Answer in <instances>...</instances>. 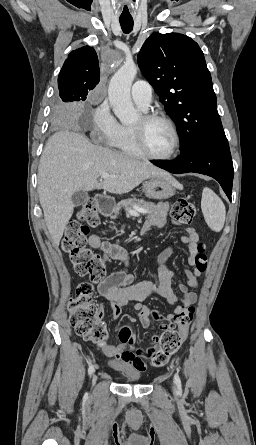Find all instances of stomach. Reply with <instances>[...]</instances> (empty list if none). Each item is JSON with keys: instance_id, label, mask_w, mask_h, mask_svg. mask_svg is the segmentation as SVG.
<instances>
[{"instance_id": "1", "label": "stomach", "mask_w": 256, "mask_h": 445, "mask_svg": "<svg viewBox=\"0 0 256 445\" xmlns=\"http://www.w3.org/2000/svg\"><path fill=\"white\" fill-rule=\"evenodd\" d=\"M176 187L171 176H153L143 184V192L148 198L165 200L175 194Z\"/></svg>"}]
</instances>
